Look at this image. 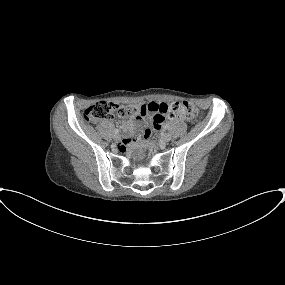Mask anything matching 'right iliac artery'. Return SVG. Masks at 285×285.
Segmentation results:
<instances>
[{
	"label": "right iliac artery",
	"mask_w": 285,
	"mask_h": 285,
	"mask_svg": "<svg viewBox=\"0 0 285 285\" xmlns=\"http://www.w3.org/2000/svg\"><path fill=\"white\" fill-rule=\"evenodd\" d=\"M115 133H116V134L119 133V129H115Z\"/></svg>",
	"instance_id": "1"
}]
</instances>
